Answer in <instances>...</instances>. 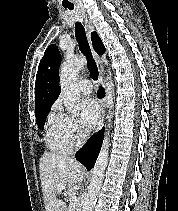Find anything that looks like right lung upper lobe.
I'll return each mask as SVG.
<instances>
[{
	"mask_svg": "<svg viewBox=\"0 0 178 211\" xmlns=\"http://www.w3.org/2000/svg\"><path fill=\"white\" fill-rule=\"evenodd\" d=\"M91 39L96 52L102 55L105 47L96 32ZM59 66L60 53L55 44L50 45L44 53L38 67L35 84V114L50 108L59 96Z\"/></svg>",
	"mask_w": 178,
	"mask_h": 211,
	"instance_id": "obj_1",
	"label": "right lung upper lobe"
}]
</instances>
